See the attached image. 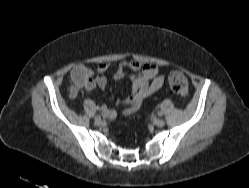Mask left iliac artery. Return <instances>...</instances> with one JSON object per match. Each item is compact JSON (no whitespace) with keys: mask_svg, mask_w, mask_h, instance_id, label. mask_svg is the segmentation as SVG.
<instances>
[{"mask_svg":"<svg viewBox=\"0 0 249 188\" xmlns=\"http://www.w3.org/2000/svg\"><path fill=\"white\" fill-rule=\"evenodd\" d=\"M157 115H158L159 117H161L163 114H162V112H158Z\"/></svg>","mask_w":249,"mask_h":188,"instance_id":"1","label":"left iliac artery"}]
</instances>
